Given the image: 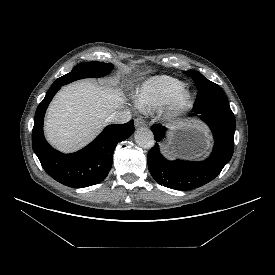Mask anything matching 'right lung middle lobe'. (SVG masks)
I'll list each match as a JSON object with an SVG mask.
<instances>
[{
    "label": "right lung middle lobe",
    "mask_w": 275,
    "mask_h": 275,
    "mask_svg": "<svg viewBox=\"0 0 275 275\" xmlns=\"http://www.w3.org/2000/svg\"><path fill=\"white\" fill-rule=\"evenodd\" d=\"M112 68L113 65L110 63L97 61L81 63L75 66L70 73L58 78L53 84L62 83V85H65L81 78L102 77L108 74Z\"/></svg>",
    "instance_id": "right-lung-middle-lobe-1"
}]
</instances>
